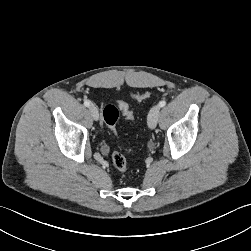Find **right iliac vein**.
<instances>
[{"label": "right iliac vein", "instance_id": "1", "mask_svg": "<svg viewBox=\"0 0 251 251\" xmlns=\"http://www.w3.org/2000/svg\"><path fill=\"white\" fill-rule=\"evenodd\" d=\"M89 112L95 121L99 120V112H98V109L94 105L89 106Z\"/></svg>", "mask_w": 251, "mask_h": 251}]
</instances>
